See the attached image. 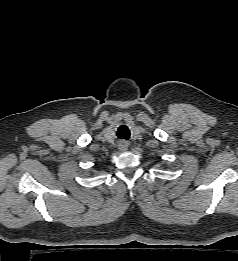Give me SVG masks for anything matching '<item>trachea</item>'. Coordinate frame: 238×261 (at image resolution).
<instances>
[{
  "instance_id": "3493384b",
  "label": "trachea",
  "mask_w": 238,
  "mask_h": 261,
  "mask_svg": "<svg viewBox=\"0 0 238 261\" xmlns=\"http://www.w3.org/2000/svg\"><path fill=\"white\" fill-rule=\"evenodd\" d=\"M118 137L128 140V138H129V133H127L126 135L124 134L123 136L118 135Z\"/></svg>"
}]
</instances>
